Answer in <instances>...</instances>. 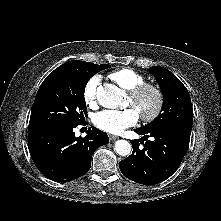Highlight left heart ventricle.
I'll list each match as a JSON object with an SVG mask.
<instances>
[{
  "label": "left heart ventricle",
  "instance_id": "obj_1",
  "mask_svg": "<svg viewBox=\"0 0 221 221\" xmlns=\"http://www.w3.org/2000/svg\"><path fill=\"white\" fill-rule=\"evenodd\" d=\"M128 106L134 108L138 114L150 113L155 106V96L153 93H146L141 99L133 103L130 98H128Z\"/></svg>",
  "mask_w": 221,
  "mask_h": 221
}]
</instances>
